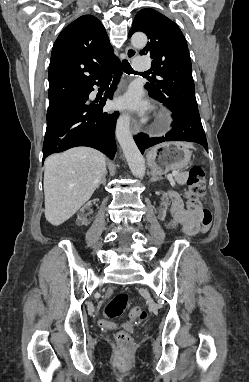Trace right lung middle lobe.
<instances>
[{"label": "right lung middle lobe", "mask_w": 249, "mask_h": 382, "mask_svg": "<svg viewBox=\"0 0 249 382\" xmlns=\"http://www.w3.org/2000/svg\"><path fill=\"white\" fill-rule=\"evenodd\" d=\"M81 97V92L77 93V94H74L68 98H65L63 100H60V101H57V102H53V103H49V108H48V111L47 113H50V112H53L57 109H59L60 107H62L63 105L71 102V101H74V100H77Z\"/></svg>", "instance_id": "dd1d6c3e"}]
</instances>
